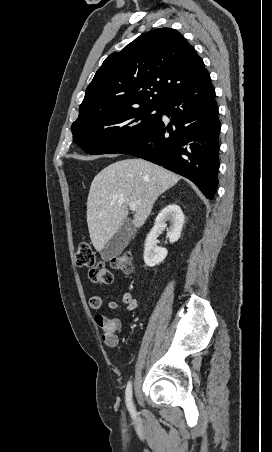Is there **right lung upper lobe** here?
Listing matches in <instances>:
<instances>
[{
  "mask_svg": "<svg viewBox=\"0 0 272 452\" xmlns=\"http://www.w3.org/2000/svg\"><path fill=\"white\" fill-rule=\"evenodd\" d=\"M209 78L178 31L155 29L105 59L86 89L77 120L141 105L161 107Z\"/></svg>",
  "mask_w": 272,
  "mask_h": 452,
  "instance_id": "1",
  "label": "right lung upper lobe"
}]
</instances>
